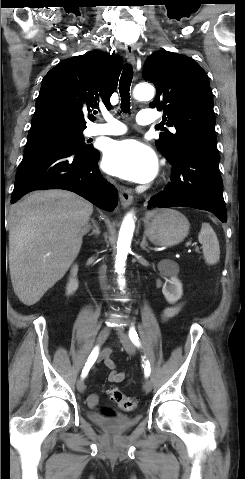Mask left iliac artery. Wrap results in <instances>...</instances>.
Masks as SVG:
<instances>
[{"instance_id": "obj_1", "label": "left iliac artery", "mask_w": 245, "mask_h": 479, "mask_svg": "<svg viewBox=\"0 0 245 479\" xmlns=\"http://www.w3.org/2000/svg\"><path fill=\"white\" fill-rule=\"evenodd\" d=\"M129 338L135 346L140 347V340L134 326H131L129 329ZM143 367L145 376L148 377L151 372L150 363L148 361H145Z\"/></svg>"}]
</instances>
